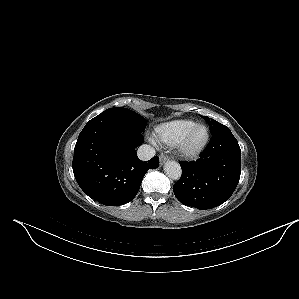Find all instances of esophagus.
Wrapping results in <instances>:
<instances>
[{
	"instance_id": "esophagus-1",
	"label": "esophagus",
	"mask_w": 299,
	"mask_h": 299,
	"mask_svg": "<svg viewBox=\"0 0 299 299\" xmlns=\"http://www.w3.org/2000/svg\"><path fill=\"white\" fill-rule=\"evenodd\" d=\"M169 157L167 155H161L160 156V165L164 164L166 161H168Z\"/></svg>"
}]
</instances>
